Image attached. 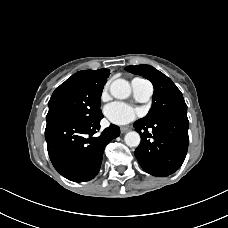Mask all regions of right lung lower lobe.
<instances>
[{
	"label": "right lung lower lobe",
	"mask_w": 228,
	"mask_h": 228,
	"mask_svg": "<svg viewBox=\"0 0 228 228\" xmlns=\"http://www.w3.org/2000/svg\"><path fill=\"white\" fill-rule=\"evenodd\" d=\"M102 118L103 114L91 120L63 119L46 126L50 160L65 178L85 182L99 172L105 146L120 135L114 124L96 134Z\"/></svg>",
	"instance_id": "1"
}]
</instances>
